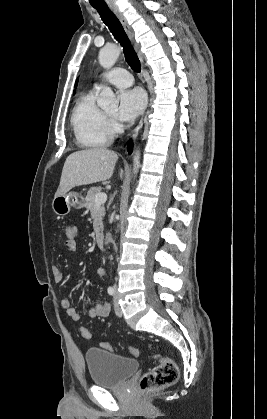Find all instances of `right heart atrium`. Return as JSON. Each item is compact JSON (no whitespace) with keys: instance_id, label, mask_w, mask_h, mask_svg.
I'll list each match as a JSON object with an SVG mask.
<instances>
[{"instance_id":"right-heart-atrium-1","label":"right heart atrium","mask_w":267,"mask_h":419,"mask_svg":"<svg viewBox=\"0 0 267 419\" xmlns=\"http://www.w3.org/2000/svg\"><path fill=\"white\" fill-rule=\"evenodd\" d=\"M114 127H115L114 122L112 120H110L109 121V128H110V130L113 131L114 130Z\"/></svg>"}]
</instances>
